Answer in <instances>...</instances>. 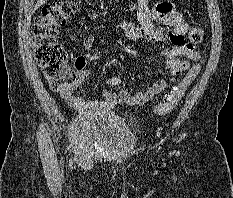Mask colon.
I'll return each mask as SVG.
<instances>
[{"label":"colon","instance_id":"obj_1","mask_svg":"<svg viewBox=\"0 0 233 198\" xmlns=\"http://www.w3.org/2000/svg\"><path fill=\"white\" fill-rule=\"evenodd\" d=\"M80 0H54L44 7L42 14L34 21L31 32L37 62L50 88L57 93L70 91L76 84V74L67 64V56L57 41L58 30L66 24L67 19L78 9ZM204 31L200 27L190 29L187 43L193 47L203 39ZM77 59L75 64H82ZM200 71L196 63L182 79L155 106V112L163 115L172 111L182 99L184 93Z\"/></svg>","mask_w":233,"mask_h":198}]
</instances>
